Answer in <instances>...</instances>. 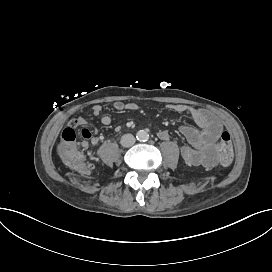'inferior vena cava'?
Listing matches in <instances>:
<instances>
[{
	"instance_id": "602c4592",
	"label": "inferior vena cava",
	"mask_w": 272,
	"mask_h": 272,
	"mask_svg": "<svg viewBox=\"0 0 272 272\" xmlns=\"http://www.w3.org/2000/svg\"><path fill=\"white\" fill-rule=\"evenodd\" d=\"M135 142V137L130 133L123 135L121 138V145L124 147H131L135 144Z\"/></svg>"
}]
</instances>
